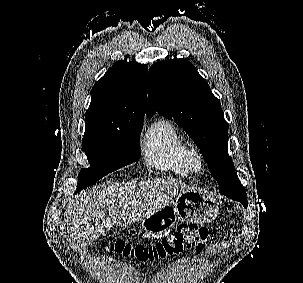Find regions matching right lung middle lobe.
<instances>
[{
	"label": "right lung middle lobe",
	"mask_w": 303,
	"mask_h": 283,
	"mask_svg": "<svg viewBox=\"0 0 303 283\" xmlns=\"http://www.w3.org/2000/svg\"><path fill=\"white\" fill-rule=\"evenodd\" d=\"M143 121L119 127L86 129L82 147L90 163L78 175L76 192L94 185L107 174L136 162L141 157Z\"/></svg>",
	"instance_id": "obj_1"
}]
</instances>
